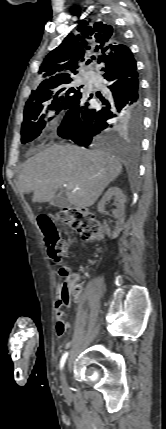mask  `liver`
I'll list each match as a JSON object with an SVG mask.
<instances>
[{
    "instance_id": "1",
    "label": "liver",
    "mask_w": 166,
    "mask_h": 429,
    "mask_svg": "<svg viewBox=\"0 0 166 429\" xmlns=\"http://www.w3.org/2000/svg\"><path fill=\"white\" fill-rule=\"evenodd\" d=\"M116 156L102 150H86L71 145H53L30 158L18 179L21 194L33 192V202H47L65 184L70 204L92 206L106 186L120 175Z\"/></svg>"
}]
</instances>
